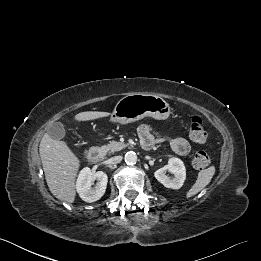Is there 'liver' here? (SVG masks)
Segmentation results:
<instances>
[{
  "label": "liver",
  "mask_w": 261,
  "mask_h": 261,
  "mask_svg": "<svg viewBox=\"0 0 261 261\" xmlns=\"http://www.w3.org/2000/svg\"><path fill=\"white\" fill-rule=\"evenodd\" d=\"M108 112L87 111L75 115L78 122L107 117ZM39 154L47 185L59 200L73 203L76 197L75 179L80 168L78 157L69 146L51 138L47 133L41 139Z\"/></svg>",
  "instance_id": "obj_1"
}]
</instances>
